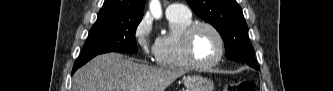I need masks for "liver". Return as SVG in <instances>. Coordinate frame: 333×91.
Masks as SVG:
<instances>
[{"instance_id": "liver-1", "label": "liver", "mask_w": 333, "mask_h": 91, "mask_svg": "<svg viewBox=\"0 0 333 91\" xmlns=\"http://www.w3.org/2000/svg\"><path fill=\"white\" fill-rule=\"evenodd\" d=\"M183 74V70L155 68L111 52L77 70L73 91H165Z\"/></svg>"}]
</instances>
